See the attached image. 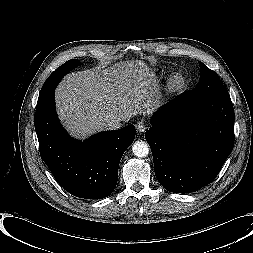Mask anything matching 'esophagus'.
<instances>
[{
	"mask_svg": "<svg viewBox=\"0 0 253 253\" xmlns=\"http://www.w3.org/2000/svg\"><path fill=\"white\" fill-rule=\"evenodd\" d=\"M136 129L139 133H144L147 127L143 121H140L136 124Z\"/></svg>",
	"mask_w": 253,
	"mask_h": 253,
	"instance_id": "1",
	"label": "esophagus"
}]
</instances>
